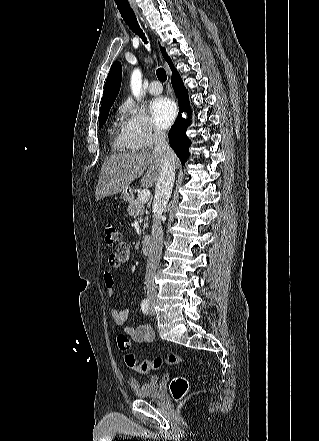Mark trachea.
I'll return each mask as SVG.
<instances>
[{
    "instance_id": "obj_1",
    "label": "trachea",
    "mask_w": 319,
    "mask_h": 441,
    "mask_svg": "<svg viewBox=\"0 0 319 441\" xmlns=\"http://www.w3.org/2000/svg\"><path fill=\"white\" fill-rule=\"evenodd\" d=\"M117 8L123 18V20L125 21V23L129 26V28L136 34L138 35L140 38H142V40L144 41L145 44H147V40L146 37L144 35V33L142 32V29L140 28L138 21L136 19V16L132 10V8L130 6H122V5H117ZM156 74L158 79L161 82H165L167 80V75H166V71L163 68H158L156 70Z\"/></svg>"
}]
</instances>
